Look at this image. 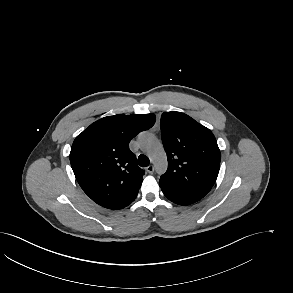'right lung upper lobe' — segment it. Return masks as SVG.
<instances>
[{
    "label": "right lung upper lobe",
    "instance_id": "right-lung-upper-lobe-1",
    "mask_svg": "<svg viewBox=\"0 0 293 293\" xmlns=\"http://www.w3.org/2000/svg\"><path fill=\"white\" fill-rule=\"evenodd\" d=\"M154 123L153 113L108 116L76 137L69 156L71 166L94 202L118 210L135 200L145 172L137 166L129 142Z\"/></svg>",
    "mask_w": 293,
    "mask_h": 293
}]
</instances>
